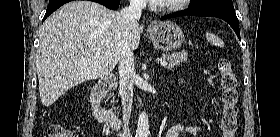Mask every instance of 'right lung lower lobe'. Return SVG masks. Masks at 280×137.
<instances>
[{
	"mask_svg": "<svg viewBox=\"0 0 280 137\" xmlns=\"http://www.w3.org/2000/svg\"><path fill=\"white\" fill-rule=\"evenodd\" d=\"M72 0H49V4L46 10V14L43 18V21L51 15L55 10H57L60 6L63 4L70 2ZM97 3H100L104 6H106L109 9L116 10L119 7L120 0H91Z\"/></svg>",
	"mask_w": 280,
	"mask_h": 137,
	"instance_id": "right-lung-lower-lobe-1",
	"label": "right lung lower lobe"
}]
</instances>
